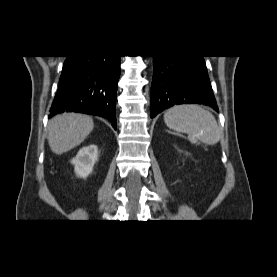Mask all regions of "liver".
<instances>
[{
    "label": "liver",
    "instance_id": "1",
    "mask_svg": "<svg viewBox=\"0 0 277 277\" xmlns=\"http://www.w3.org/2000/svg\"><path fill=\"white\" fill-rule=\"evenodd\" d=\"M94 128L92 117L63 113L52 118L48 125V143L55 154L65 153L80 145Z\"/></svg>",
    "mask_w": 277,
    "mask_h": 277
}]
</instances>
